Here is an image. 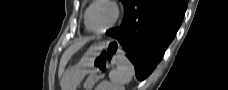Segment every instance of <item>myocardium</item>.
<instances>
[{"label": "myocardium", "instance_id": "obj_1", "mask_svg": "<svg viewBox=\"0 0 228 90\" xmlns=\"http://www.w3.org/2000/svg\"><path fill=\"white\" fill-rule=\"evenodd\" d=\"M97 4H106V5L110 6L112 8V10H113V13H114L113 14V18L110 21V23L105 28H103L101 30H94L93 28H91L90 23H89L90 11ZM120 14H121L120 8H119L118 4L115 1H112V0H96V1L92 2L91 5L86 10V13H85V25H86L87 29L89 31L93 32V33H97V34L104 33L107 30H109L110 28H112L117 23V21L120 18Z\"/></svg>", "mask_w": 228, "mask_h": 90}]
</instances>
